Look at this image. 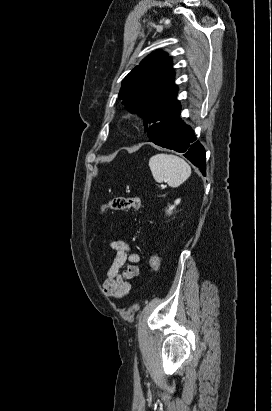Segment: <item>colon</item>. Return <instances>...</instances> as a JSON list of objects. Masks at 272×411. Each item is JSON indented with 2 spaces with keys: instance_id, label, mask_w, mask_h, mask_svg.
Wrapping results in <instances>:
<instances>
[{
  "instance_id": "obj_1",
  "label": "colon",
  "mask_w": 272,
  "mask_h": 411,
  "mask_svg": "<svg viewBox=\"0 0 272 411\" xmlns=\"http://www.w3.org/2000/svg\"><path fill=\"white\" fill-rule=\"evenodd\" d=\"M142 201L140 197H124L117 196L112 198L107 203L101 205L100 212L103 213L107 210L111 211H123V210H139L141 208ZM149 263L154 272L159 273L161 270V260L157 255H152L149 258Z\"/></svg>"
}]
</instances>
